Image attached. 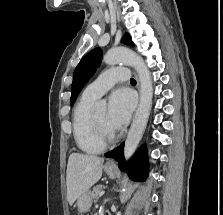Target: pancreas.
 Here are the masks:
<instances>
[{
  "mask_svg": "<svg viewBox=\"0 0 223 215\" xmlns=\"http://www.w3.org/2000/svg\"><path fill=\"white\" fill-rule=\"evenodd\" d=\"M104 187H105V185H95V187H93L92 195L94 196L93 198L95 199V201H97L99 192L102 191V189H104Z\"/></svg>",
  "mask_w": 223,
  "mask_h": 215,
  "instance_id": "obj_1",
  "label": "pancreas"
}]
</instances>
